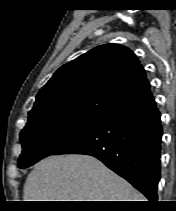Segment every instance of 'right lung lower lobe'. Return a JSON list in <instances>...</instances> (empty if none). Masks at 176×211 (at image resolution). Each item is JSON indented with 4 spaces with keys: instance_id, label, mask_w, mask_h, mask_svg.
<instances>
[{
    "instance_id": "98d812e1",
    "label": "right lung lower lobe",
    "mask_w": 176,
    "mask_h": 211,
    "mask_svg": "<svg viewBox=\"0 0 176 211\" xmlns=\"http://www.w3.org/2000/svg\"><path fill=\"white\" fill-rule=\"evenodd\" d=\"M162 127L155 100L104 117L54 154H87L157 201Z\"/></svg>"
}]
</instances>
